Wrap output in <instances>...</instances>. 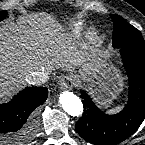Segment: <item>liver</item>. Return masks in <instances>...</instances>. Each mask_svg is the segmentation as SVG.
<instances>
[{
	"mask_svg": "<svg viewBox=\"0 0 145 145\" xmlns=\"http://www.w3.org/2000/svg\"><path fill=\"white\" fill-rule=\"evenodd\" d=\"M78 64V56L66 50L61 25L45 13L22 17L18 26L0 27V97L19 88L34 70Z\"/></svg>",
	"mask_w": 145,
	"mask_h": 145,
	"instance_id": "1",
	"label": "liver"
}]
</instances>
